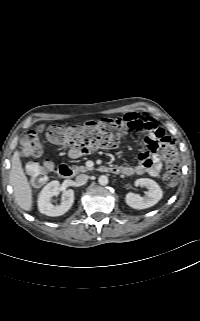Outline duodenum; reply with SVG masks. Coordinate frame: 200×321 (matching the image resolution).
Masks as SVG:
<instances>
[{
	"label": "duodenum",
	"mask_w": 200,
	"mask_h": 321,
	"mask_svg": "<svg viewBox=\"0 0 200 321\" xmlns=\"http://www.w3.org/2000/svg\"><path fill=\"white\" fill-rule=\"evenodd\" d=\"M101 169L104 172L119 173L118 168L114 166H103ZM58 174L63 179H69L73 176V170L68 165L63 164L59 166Z\"/></svg>",
	"instance_id": "1"
}]
</instances>
